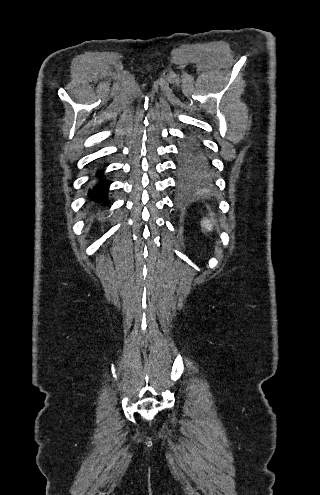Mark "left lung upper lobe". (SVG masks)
<instances>
[{
  "label": "left lung upper lobe",
  "instance_id": "obj_1",
  "mask_svg": "<svg viewBox=\"0 0 320 495\" xmlns=\"http://www.w3.org/2000/svg\"><path fill=\"white\" fill-rule=\"evenodd\" d=\"M208 161L201 153L197 144L193 140H189L181 150V159L179 168L183 173H194L202 169H206Z\"/></svg>",
  "mask_w": 320,
  "mask_h": 495
}]
</instances>
